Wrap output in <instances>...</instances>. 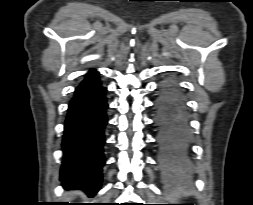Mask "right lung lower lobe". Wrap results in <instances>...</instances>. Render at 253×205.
<instances>
[{"label": "right lung lower lobe", "mask_w": 253, "mask_h": 205, "mask_svg": "<svg viewBox=\"0 0 253 205\" xmlns=\"http://www.w3.org/2000/svg\"><path fill=\"white\" fill-rule=\"evenodd\" d=\"M91 69L76 88L64 126V159L60 180L67 188L82 189L90 197L102 183L104 129L107 124L105 88Z\"/></svg>", "instance_id": "obj_1"}]
</instances>
